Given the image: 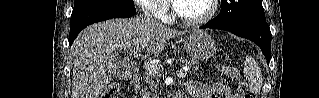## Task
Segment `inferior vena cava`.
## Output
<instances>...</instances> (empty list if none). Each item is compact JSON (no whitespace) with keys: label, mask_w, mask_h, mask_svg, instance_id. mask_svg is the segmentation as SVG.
I'll use <instances>...</instances> for the list:
<instances>
[{"label":"inferior vena cava","mask_w":319,"mask_h":98,"mask_svg":"<svg viewBox=\"0 0 319 98\" xmlns=\"http://www.w3.org/2000/svg\"><path fill=\"white\" fill-rule=\"evenodd\" d=\"M143 18H144L145 20H147V21L152 22V23L160 24V23L152 16L151 12L148 11V10H145V12H144V17H143Z\"/></svg>","instance_id":"inferior-vena-cava-1"}]
</instances>
